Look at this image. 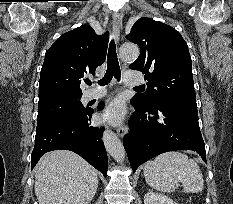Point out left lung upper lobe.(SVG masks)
I'll return each mask as SVG.
<instances>
[{
  "mask_svg": "<svg viewBox=\"0 0 233 204\" xmlns=\"http://www.w3.org/2000/svg\"><path fill=\"white\" fill-rule=\"evenodd\" d=\"M126 38L141 49L130 68L142 71L147 80L145 93L137 94L134 102L140 105L160 99L196 102L188 46L173 27L142 17Z\"/></svg>",
  "mask_w": 233,
  "mask_h": 204,
  "instance_id": "1",
  "label": "left lung upper lobe"
}]
</instances>
